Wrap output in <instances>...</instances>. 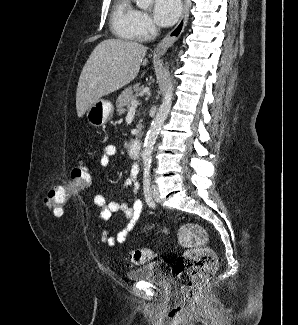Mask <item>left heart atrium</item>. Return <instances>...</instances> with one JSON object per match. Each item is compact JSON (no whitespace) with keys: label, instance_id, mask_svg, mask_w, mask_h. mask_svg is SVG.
<instances>
[{"label":"left heart atrium","instance_id":"1","mask_svg":"<svg viewBox=\"0 0 298 325\" xmlns=\"http://www.w3.org/2000/svg\"><path fill=\"white\" fill-rule=\"evenodd\" d=\"M182 12L181 0H155L153 16L156 23L161 27L173 25Z\"/></svg>","mask_w":298,"mask_h":325}]
</instances>
